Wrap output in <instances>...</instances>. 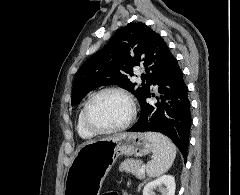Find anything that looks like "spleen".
<instances>
[{
    "instance_id": "obj_1",
    "label": "spleen",
    "mask_w": 240,
    "mask_h": 195,
    "mask_svg": "<svg viewBox=\"0 0 240 195\" xmlns=\"http://www.w3.org/2000/svg\"><path fill=\"white\" fill-rule=\"evenodd\" d=\"M147 139L151 141L153 159L147 161L146 173L149 177H159L171 167L177 153V147L171 139L158 131H146Z\"/></svg>"
}]
</instances>
